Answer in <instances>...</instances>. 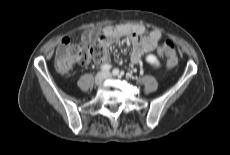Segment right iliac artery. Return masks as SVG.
Masks as SVG:
<instances>
[{
    "label": "right iliac artery",
    "mask_w": 230,
    "mask_h": 155,
    "mask_svg": "<svg viewBox=\"0 0 230 155\" xmlns=\"http://www.w3.org/2000/svg\"><path fill=\"white\" fill-rule=\"evenodd\" d=\"M111 69V65L109 64H104L101 66L102 71H109Z\"/></svg>",
    "instance_id": "right-iliac-artery-1"
}]
</instances>
